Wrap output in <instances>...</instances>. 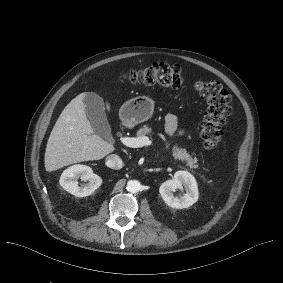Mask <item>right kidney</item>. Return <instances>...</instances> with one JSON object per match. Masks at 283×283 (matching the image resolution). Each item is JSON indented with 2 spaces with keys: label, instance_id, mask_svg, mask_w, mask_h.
Masks as SVG:
<instances>
[{
  "label": "right kidney",
  "instance_id": "obj_1",
  "mask_svg": "<svg viewBox=\"0 0 283 283\" xmlns=\"http://www.w3.org/2000/svg\"><path fill=\"white\" fill-rule=\"evenodd\" d=\"M86 182L79 186L78 179ZM60 185L67 192L76 197H86L91 195L102 183V179L93 173V170L86 165H73L62 173Z\"/></svg>",
  "mask_w": 283,
  "mask_h": 283
}]
</instances>
